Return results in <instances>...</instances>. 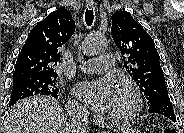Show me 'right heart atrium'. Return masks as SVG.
I'll list each match as a JSON object with an SVG mask.
<instances>
[{
    "label": "right heart atrium",
    "mask_w": 184,
    "mask_h": 133,
    "mask_svg": "<svg viewBox=\"0 0 184 133\" xmlns=\"http://www.w3.org/2000/svg\"><path fill=\"white\" fill-rule=\"evenodd\" d=\"M69 109L73 113H85V108L75 100H71L69 103Z\"/></svg>",
    "instance_id": "obj_1"
}]
</instances>
